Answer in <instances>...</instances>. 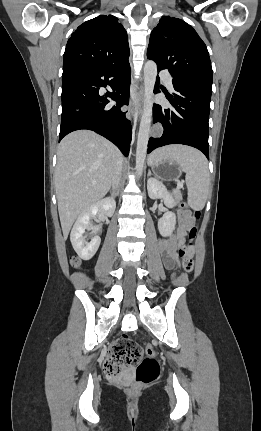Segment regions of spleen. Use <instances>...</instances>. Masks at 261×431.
Returning <instances> with one entry per match:
<instances>
[{
    "label": "spleen",
    "mask_w": 261,
    "mask_h": 431,
    "mask_svg": "<svg viewBox=\"0 0 261 431\" xmlns=\"http://www.w3.org/2000/svg\"><path fill=\"white\" fill-rule=\"evenodd\" d=\"M169 160L179 165L186 173L188 204L193 210H202L209 192L210 178L208 162L196 149L182 145H172L154 151L149 157V164Z\"/></svg>",
    "instance_id": "obj_1"
}]
</instances>
